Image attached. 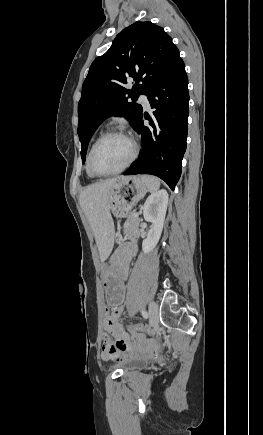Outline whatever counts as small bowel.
Wrapping results in <instances>:
<instances>
[{"mask_svg":"<svg viewBox=\"0 0 263 435\" xmlns=\"http://www.w3.org/2000/svg\"><path fill=\"white\" fill-rule=\"evenodd\" d=\"M137 246L134 242L127 243L125 246L116 250L113 254L112 258H120L121 261H125L127 264L126 267V277L119 278L127 280L129 275V269L133 258L136 256ZM124 307L123 305H116L114 310H111L110 313L105 318V329L110 334H105L103 337H106L109 340L110 348H102V357L104 359L111 358L115 355H124L128 353V350H132L135 347V344L132 341H129L130 334L124 331V326L119 322V317L123 313ZM137 326V325H133ZM132 326V327H133ZM131 333L136 334L134 331ZM127 341V342H126Z\"/></svg>","mask_w":263,"mask_h":435,"instance_id":"small-bowel-1","label":"small bowel"}]
</instances>
